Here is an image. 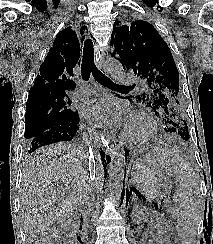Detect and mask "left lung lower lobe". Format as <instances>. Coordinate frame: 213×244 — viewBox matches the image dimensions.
<instances>
[{
	"label": "left lung lower lobe",
	"mask_w": 213,
	"mask_h": 244,
	"mask_svg": "<svg viewBox=\"0 0 213 244\" xmlns=\"http://www.w3.org/2000/svg\"><path fill=\"white\" fill-rule=\"evenodd\" d=\"M165 129V128H164ZM125 153H126V157L128 156V154H129V150L127 151V150H125ZM123 190H124V185H123ZM122 194H123V191H122ZM121 201H122V197H121Z\"/></svg>",
	"instance_id": "left-lung-lower-lobe-1"
}]
</instances>
